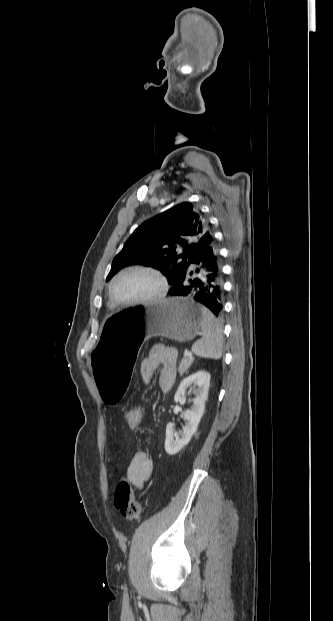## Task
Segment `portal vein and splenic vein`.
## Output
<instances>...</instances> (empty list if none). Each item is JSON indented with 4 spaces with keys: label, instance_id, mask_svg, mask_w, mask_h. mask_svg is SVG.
<instances>
[{
    "label": "portal vein and splenic vein",
    "instance_id": "obj_1",
    "mask_svg": "<svg viewBox=\"0 0 333 621\" xmlns=\"http://www.w3.org/2000/svg\"><path fill=\"white\" fill-rule=\"evenodd\" d=\"M190 355H191V353H190L188 350H185V351H184V356H185V357H189Z\"/></svg>",
    "mask_w": 333,
    "mask_h": 621
}]
</instances>
